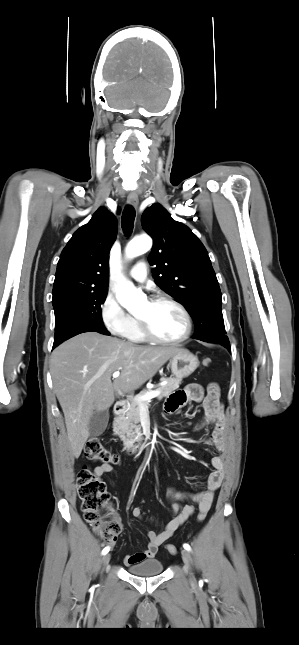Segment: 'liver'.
Returning <instances> with one entry per match:
<instances>
[{
	"label": "liver",
	"mask_w": 299,
	"mask_h": 645,
	"mask_svg": "<svg viewBox=\"0 0 299 645\" xmlns=\"http://www.w3.org/2000/svg\"><path fill=\"white\" fill-rule=\"evenodd\" d=\"M181 350L175 346H139L96 332L77 335L54 350L50 371L75 458L90 435L94 412L107 410L119 393L138 389ZM115 371L121 374L112 382Z\"/></svg>",
	"instance_id": "1"
}]
</instances>
